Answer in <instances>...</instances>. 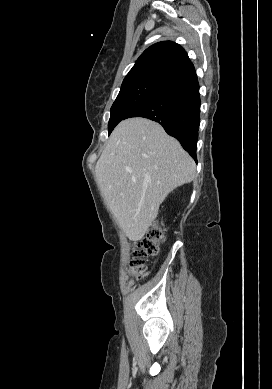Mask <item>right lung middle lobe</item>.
Returning a JSON list of instances; mask_svg holds the SVG:
<instances>
[{
  "instance_id": "dd1d6c3e",
  "label": "right lung middle lobe",
  "mask_w": 272,
  "mask_h": 389,
  "mask_svg": "<svg viewBox=\"0 0 272 389\" xmlns=\"http://www.w3.org/2000/svg\"><path fill=\"white\" fill-rule=\"evenodd\" d=\"M164 85L155 82L141 81L123 84L111 107L108 123L109 134L115 126L124 119L125 115L144 99L161 89Z\"/></svg>"
}]
</instances>
